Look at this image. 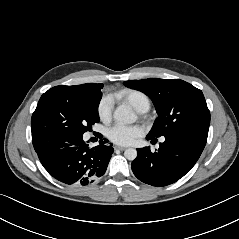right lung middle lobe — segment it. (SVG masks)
I'll return each instance as SVG.
<instances>
[{"label": "right lung middle lobe", "instance_id": "dd1d6c3e", "mask_svg": "<svg viewBox=\"0 0 239 239\" xmlns=\"http://www.w3.org/2000/svg\"><path fill=\"white\" fill-rule=\"evenodd\" d=\"M101 97V90L79 86L60 85L45 92L31 119L34 149L60 134L83 135L100 121Z\"/></svg>", "mask_w": 239, "mask_h": 239}]
</instances>
